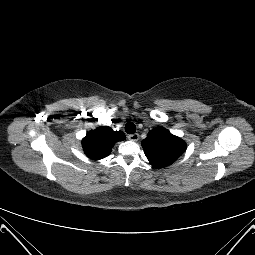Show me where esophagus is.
I'll list each match as a JSON object with an SVG mask.
<instances>
[{"mask_svg":"<svg viewBox=\"0 0 255 255\" xmlns=\"http://www.w3.org/2000/svg\"><path fill=\"white\" fill-rule=\"evenodd\" d=\"M128 139L131 141H138L139 140V134L135 133V134H130L128 135Z\"/></svg>","mask_w":255,"mask_h":255,"instance_id":"1","label":"esophagus"}]
</instances>
